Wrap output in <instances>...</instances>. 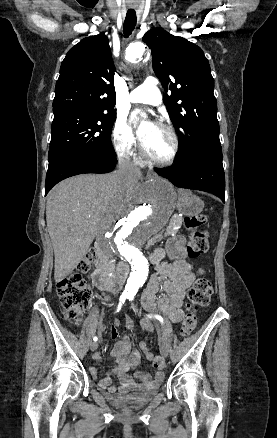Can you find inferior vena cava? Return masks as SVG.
Returning a JSON list of instances; mask_svg holds the SVG:
<instances>
[{
    "label": "inferior vena cava",
    "instance_id": "obj_1",
    "mask_svg": "<svg viewBox=\"0 0 277 438\" xmlns=\"http://www.w3.org/2000/svg\"><path fill=\"white\" fill-rule=\"evenodd\" d=\"M115 174L118 176L119 184H132L134 178L141 176V170L131 162L129 156H118V170Z\"/></svg>",
    "mask_w": 277,
    "mask_h": 438
}]
</instances>
